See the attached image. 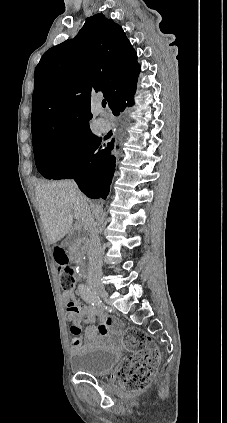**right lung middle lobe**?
I'll list each match as a JSON object with an SVG mask.
<instances>
[{
    "mask_svg": "<svg viewBox=\"0 0 227 423\" xmlns=\"http://www.w3.org/2000/svg\"><path fill=\"white\" fill-rule=\"evenodd\" d=\"M94 137L92 133H78L49 136L33 141L38 171L47 179L68 178L76 171L80 159Z\"/></svg>",
    "mask_w": 227,
    "mask_h": 423,
    "instance_id": "1",
    "label": "right lung middle lobe"
}]
</instances>
